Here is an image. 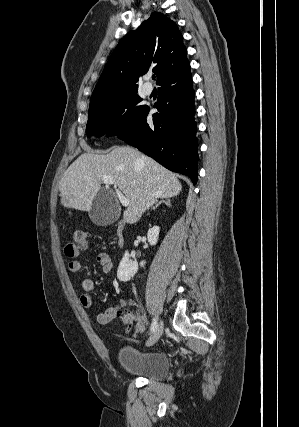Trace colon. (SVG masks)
<instances>
[{
  "instance_id": "obj_1",
  "label": "colon",
  "mask_w": 299,
  "mask_h": 427,
  "mask_svg": "<svg viewBox=\"0 0 299 427\" xmlns=\"http://www.w3.org/2000/svg\"><path fill=\"white\" fill-rule=\"evenodd\" d=\"M87 245V232L84 229H76L70 235L69 242L65 248L66 255L74 257L81 251L85 250ZM123 321L126 326L130 327L137 321V317L129 313L124 316Z\"/></svg>"
}]
</instances>
